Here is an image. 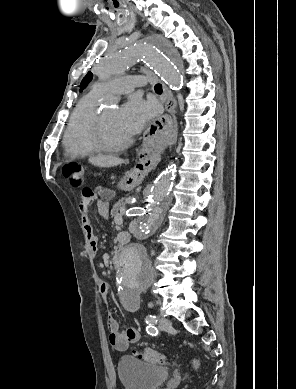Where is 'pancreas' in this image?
Instances as JSON below:
<instances>
[{"label":"pancreas","instance_id":"obj_1","mask_svg":"<svg viewBox=\"0 0 296 389\" xmlns=\"http://www.w3.org/2000/svg\"><path fill=\"white\" fill-rule=\"evenodd\" d=\"M125 211V199L122 198L121 200H119L117 203L114 204L112 210H111V214L113 216H117V215H122Z\"/></svg>","mask_w":296,"mask_h":389}]
</instances>
